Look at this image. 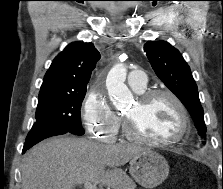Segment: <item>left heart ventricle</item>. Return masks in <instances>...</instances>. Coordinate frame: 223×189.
<instances>
[{
  "label": "left heart ventricle",
  "instance_id": "obj_1",
  "mask_svg": "<svg viewBox=\"0 0 223 189\" xmlns=\"http://www.w3.org/2000/svg\"><path fill=\"white\" fill-rule=\"evenodd\" d=\"M125 116L133 120L138 133L154 139L173 138L181 126L177 107L165 96L157 97L145 105L137 101Z\"/></svg>",
  "mask_w": 223,
  "mask_h": 189
}]
</instances>
